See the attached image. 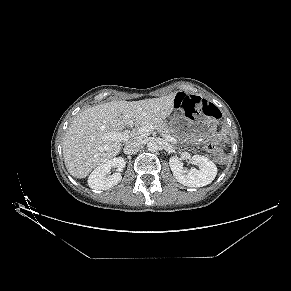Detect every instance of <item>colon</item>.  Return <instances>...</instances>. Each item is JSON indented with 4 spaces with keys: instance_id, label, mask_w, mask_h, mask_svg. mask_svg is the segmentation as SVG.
<instances>
[{
    "instance_id": "obj_1",
    "label": "colon",
    "mask_w": 291,
    "mask_h": 291,
    "mask_svg": "<svg viewBox=\"0 0 291 291\" xmlns=\"http://www.w3.org/2000/svg\"><path fill=\"white\" fill-rule=\"evenodd\" d=\"M175 107L185 115L204 114L215 118L220 117V110L209 101L198 97L180 93L175 98ZM206 150L216 155L219 164L227 162L226 156L222 153V144L218 139H214L206 144Z\"/></svg>"
}]
</instances>
